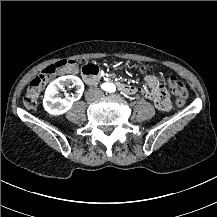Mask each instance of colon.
Returning <instances> with one entry per match:
<instances>
[{
	"mask_svg": "<svg viewBox=\"0 0 217 217\" xmlns=\"http://www.w3.org/2000/svg\"><path fill=\"white\" fill-rule=\"evenodd\" d=\"M78 71V63L75 60L63 59L51 64L50 68L42 71L41 76H37L29 83L23 97V104L27 109H35L38 103V95L42 88H49L55 80L64 79L67 74H75ZM164 85L170 88L175 94L177 106H183L189 96L186 85L175 77H168Z\"/></svg>",
	"mask_w": 217,
	"mask_h": 217,
	"instance_id": "5ec220e1",
	"label": "colon"
}]
</instances>
